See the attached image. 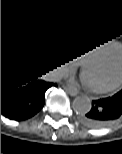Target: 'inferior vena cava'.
<instances>
[{
	"instance_id": "602c4592",
	"label": "inferior vena cava",
	"mask_w": 122,
	"mask_h": 154,
	"mask_svg": "<svg viewBox=\"0 0 122 154\" xmlns=\"http://www.w3.org/2000/svg\"><path fill=\"white\" fill-rule=\"evenodd\" d=\"M43 79L48 81H57L59 79V75L56 73V71H49L48 73L44 74Z\"/></svg>"
}]
</instances>
